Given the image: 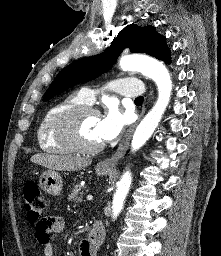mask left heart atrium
Here are the masks:
<instances>
[{"instance_id": "39dd6f15", "label": "left heart atrium", "mask_w": 221, "mask_h": 256, "mask_svg": "<svg viewBox=\"0 0 221 256\" xmlns=\"http://www.w3.org/2000/svg\"><path fill=\"white\" fill-rule=\"evenodd\" d=\"M129 122V116L121 112L116 105H109L105 114L99 118L97 127L101 141L115 139Z\"/></svg>"}]
</instances>
